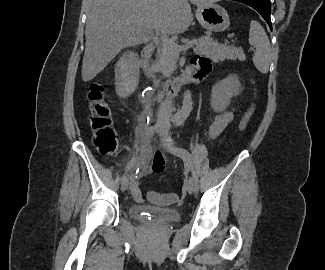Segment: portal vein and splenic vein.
<instances>
[{
  "label": "portal vein and splenic vein",
  "instance_id": "18ae733b",
  "mask_svg": "<svg viewBox=\"0 0 325 270\" xmlns=\"http://www.w3.org/2000/svg\"><path fill=\"white\" fill-rule=\"evenodd\" d=\"M161 39L162 41L164 42V44H168L172 47H174L175 49H177L178 51H182V50H187L189 49L190 47H193V45L196 43V40H193L191 42H189L188 44L186 45H183V46H179L175 43V41L173 39H170L168 36L166 35H162L161 36Z\"/></svg>",
  "mask_w": 325,
  "mask_h": 270
}]
</instances>
